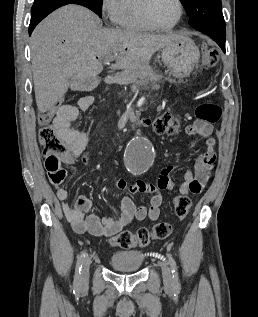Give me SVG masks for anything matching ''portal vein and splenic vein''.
<instances>
[{
    "mask_svg": "<svg viewBox=\"0 0 258 317\" xmlns=\"http://www.w3.org/2000/svg\"><path fill=\"white\" fill-rule=\"evenodd\" d=\"M117 54H113V56H105V60L106 62H109V60H111V58H116Z\"/></svg>",
    "mask_w": 258,
    "mask_h": 317,
    "instance_id": "1",
    "label": "portal vein and splenic vein"
}]
</instances>
